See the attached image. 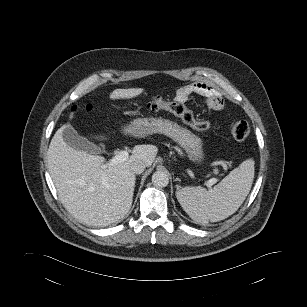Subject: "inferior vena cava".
<instances>
[{"label":"inferior vena cava","instance_id":"inferior-vena-cava-1","mask_svg":"<svg viewBox=\"0 0 307 307\" xmlns=\"http://www.w3.org/2000/svg\"><path fill=\"white\" fill-rule=\"evenodd\" d=\"M146 168V165L142 161H136L131 164L130 169L134 174H141Z\"/></svg>","mask_w":307,"mask_h":307}]
</instances>
